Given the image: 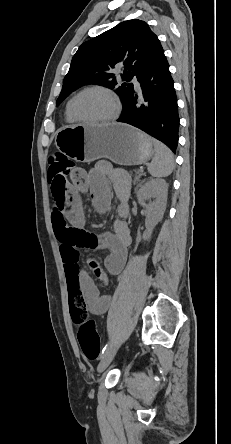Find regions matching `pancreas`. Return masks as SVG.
<instances>
[{
	"instance_id": "1",
	"label": "pancreas",
	"mask_w": 231,
	"mask_h": 444,
	"mask_svg": "<svg viewBox=\"0 0 231 444\" xmlns=\"http://www.w3.org/2000/svg\"><path fill=\"white\" fill-rule=\"evenodd\" d=\"M131 175L134 176V182H139L142 176V172L140 170L130 171Z\"/></svg>"
}]
</instances>
